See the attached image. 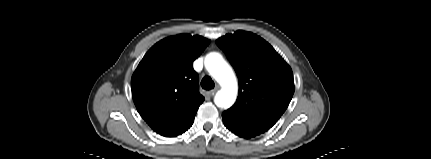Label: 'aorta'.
<instances>
[{"instance_id": "aorta-1", "label": "aorta", "mask_w": 431, "mask_h": 159, "mask_svg": "<svg viewBox=\"0 0 431 159\" xmlns=\"http://www.w3.org/2000/svg\"><path fill=\"white\" fill-rule=\"evenodd\" d=\"M207 71L220 84L221 89L216 93L214 102L220 108H230L237 97L238 86L236 77L219 53H209L204 61Z\"/></svg>"}]
</instances>
